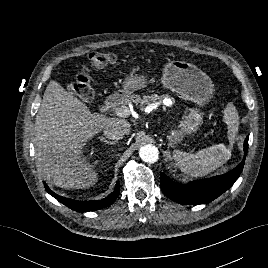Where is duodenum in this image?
I'll list each match as a JSON object with an SVG mask.
<instances>
[{"label":"duodenum","mask_w":268,"mask_h":268,"mask_svg":"<svg viewBox=\"0 0 268 268\" xmlns=\"http://www.w3.org/2000/svg\"><path fill=\"white\" fill-rule=\"evenodd\" d=\"M119 104H120V97H119V95H117V94H112V95H110V96L106 99V101H105V103H104V105H103V110H104V111H110V110H112V109L118 107Z\"/></svg>","instance_id":"obj_1"}]
</instances>
